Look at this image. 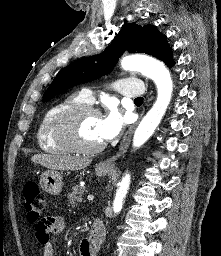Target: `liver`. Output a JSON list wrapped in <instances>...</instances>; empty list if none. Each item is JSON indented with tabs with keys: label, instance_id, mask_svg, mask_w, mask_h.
Wrapping results in <instances>:
<instances>
[{
	"label": "liver",
	"instance_id": "6515ba94",
	"mask_svg": "<svg viewBox=\"0 0 221 256\" xmlns=\"http://www.w3.org/2000/svg\"><path fill=\"white\" fill-rule=\"evenodd\" d=\"M31 161L51 170H80L87 167L91 160L76 156L36 154Z\"/></svg>",
	"mask_w": 221,
	"mask_h": 256
}]
</instances>
